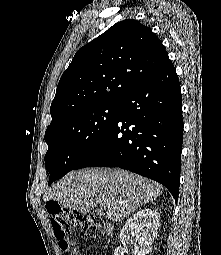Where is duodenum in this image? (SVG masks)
<instances>
[{
  "mask_svg": "<svg viewBox=\"0 0 221 255\" xmlns=\"http://www.w3.org/2000/svg\"><path fill=\"white\" fill-rule=\"evenodd\" d=\"M104 228H105V231H106L107 233H111V231H112V226H111L110 224H105Z\"/></svg>",
  "mask_w": 221,
  "mask_h": 255,
  "instance_id": "410a0bca",
  "label": "duodenum"
}]
</instances>
